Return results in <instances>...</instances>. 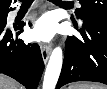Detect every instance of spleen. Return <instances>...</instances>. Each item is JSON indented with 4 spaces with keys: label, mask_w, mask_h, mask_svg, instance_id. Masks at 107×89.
I'll list each match as a JSON object with an SVG mask.
<instances>
[{
    "label": "spleen",
    "mask_w": 107,
    "mask_h": 89,
    "mask_svg": "<svg viewBox=\"0 0 107 89\" xmlns=\"http://www.w3.org/2000/svg\"><path fill=\"white\" fill-rule=\"evenodd\" d=\"M68 89H106L103 85H92V84H72Z\"/></svg>",
    "instance_id": "spleen-1"
}]
</instances>
